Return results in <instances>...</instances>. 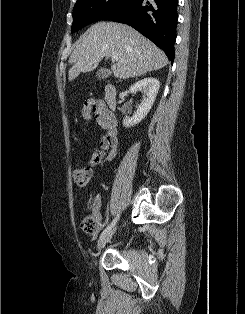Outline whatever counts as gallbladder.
Wrapping results in <instances>:
<instances>
[{
    "instance_id": "1",
    "label": "gallbladder",
    "mask_w": 245,
    "mask_h": 314,
    "mask_svg": "<svg viewBox=\"0 0 245 314\" xmlns=\"http://www.w3.org/2000/svg\"><path fill=\"white\" fill-rule=\"evenodd\" d=\"M111 74L110 70L106 69V68H100L97 72H96V77L98 79H105L107 77H109V75Z\"/></svg>"
}]
</instances>
